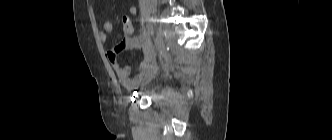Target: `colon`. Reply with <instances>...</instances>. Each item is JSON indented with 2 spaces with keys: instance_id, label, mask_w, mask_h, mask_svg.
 Masks as SVG:
<instances>
[{
  "instance_id": "5ec220e1",
  "label": "colon",
  "mask_w": 332,
  "mask_h": 140,
  "mask_svg": "<svg viewBox=\"0 0 332 140\" xmlns=\"http://www.w3.org/2000/svg\"><path fill=\"white\" fill-rule=\"evenodd\" d=\"M121 23L124 35L131 36L134 32V26L131 19L127 16H122Z\"/></svg>"
}]
</instances>
